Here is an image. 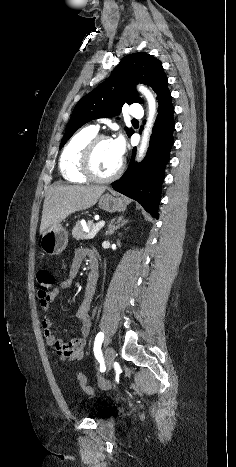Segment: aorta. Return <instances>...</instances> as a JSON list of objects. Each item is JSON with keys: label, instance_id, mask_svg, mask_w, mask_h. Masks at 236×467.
I'll return each mask as SVG.
<instances>
[{"label": "aorta", "instance_id": "1", "mask_svg": "<svg viewBox=\"0 0 236 467\" xmlns=\"http://www.w3.org/2000/svg\"><path fill=\"white\" fill-rule=\"evenodd\" d=\"M138 90L146 97L147 102H148V107H149V115L147 118V123L146 126L143 130L142 134V140L140 147L138 149V155H137V160L140 161L147 150L149 139H150V134L152 131V127L154 124L155 120V114H156V100L153 96V94L143 85L138 86Z\"/></svg>", "mask_w": 236, "mask_h": 467}]
</instances>
